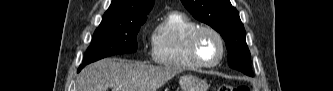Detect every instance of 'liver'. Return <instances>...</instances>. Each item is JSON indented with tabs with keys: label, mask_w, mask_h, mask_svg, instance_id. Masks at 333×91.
Listing matches in <instances>:
<instances>
[{
	"label": "liver",
	"mask_w": 333,
	"mask_h": 91,
	"mask_svg": "<svg viewBox=\"0 0 333 91\" xmlns=\"http://www.w3.org/2000/svg\"><path fill=\"white\" fill-rule=\"evenodd\" d=\"M178 73L174 67L105 58L82 70L78 91H157Z\"/></svg>",
	"instance_id": "liver-1"
}]
</instances>
